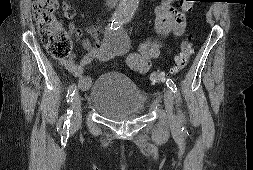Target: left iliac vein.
Instances as JSON below:
<instances>
[{
	"mask_svg": "<svg viewBox=\"0 0 253 170\" xmlns=\"http://www.w3.org/2000/svg\"><path fill=\"white\" fill-rule=\"evenodd\" d=\"M164 104L167 112L169 123L173 126L177 125V119L173 113V95L170 89L164 91Z\"/></svg>",
	"mask_w": 253,
	"mask_h": 170,
	"instance_id": "obj_1",
	"label": "left iliac vein"
}]
</instances>
